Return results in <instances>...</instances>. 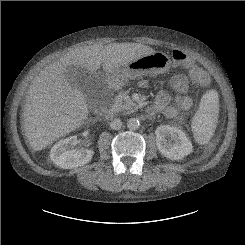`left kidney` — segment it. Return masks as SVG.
Here are the masks:
<instances>
[{"mask_svg":"<svg viewBox=\"0 0 245 245\" xmlns=\"http://www.w3.org/2000/svg\"><path fill=\"white\" fill-rule=\"evenodd\" d=\"M159 152L171 160H181L193 151L192 143L185 132L177 127L161 125L155 130Z\"/></svg>","mask_w":245,"mask_h":245,"instance_id":"1","label":"left kidney"}]
</instances>
